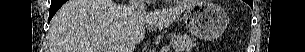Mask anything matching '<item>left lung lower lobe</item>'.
<instances>
[{"instance_id":"0a47b994","label":"left lung lower lobe","mask_w":305,"mask_h":52,"mask_svg":"<svg viewBox=\"0 0 305 52\" xmlns=\"http://www.w3.org/2000/svg\"><path fill=\"white\" fill-rule=\"evenodd\" d=\"M246 3H248L249 5L251 4L250 0H247ZM253 7V6H252Z\"/></svg>"}]
</instances>
